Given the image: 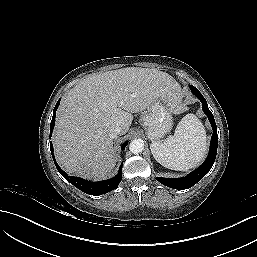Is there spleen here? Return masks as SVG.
<instances>
[{"instance_id":"1","label":"spleen","mask_w":257,"mask_h":257,"mask_svg":"<svg viewBox=\"0 0 257 257\" xmlns=\"http://www.w3.org/2000/svg\"><path fill=\"white\" fill-rule=\"evenodd\" d=\"M150 148L162 166L185 171L198 165L205 156L206 132L195 115L187 114L178 123L174 135L152 142Z\"/></svg>"}]
</instances>
